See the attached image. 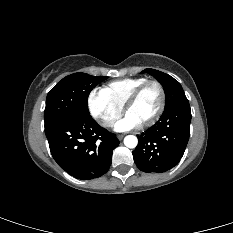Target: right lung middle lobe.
<instances>
[{
	"instance_id": "1",
	"label": "right lung middle lobe",
	"mask_w": 233,
	"mask_h": 233,
	"mask_svg": "<svg viewBox=\"0 0 233 233\" xmlns=\"http://www.w3.org/2000/svg\"><path fill=\"white\" fill-rule=\"evenodd\" d=\"M108 77L74 73L63 78L47 95L45 126L56 121L89 115L88 96L91 90Z\"/></svg>"
}]
</instances>
